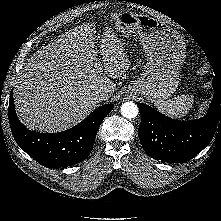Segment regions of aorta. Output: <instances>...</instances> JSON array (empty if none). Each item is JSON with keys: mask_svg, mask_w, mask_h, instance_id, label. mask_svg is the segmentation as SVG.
Instances as JSON below:
<instances>
[{"mask_svg": "<svg viewBox=\"0 0 221 221\" xmlns=\"http://www.w3.org/2000/svg\"><path fill=\"white\" fill-rule=\"evenodd\" d=\"M138 112V106L133 102H125L121 106V114L127 119L135 118Z\"/></svg>", "mask_w": 221, "mask_h": 221, "instance_id": "1", "label": "aorta"}]
</instances>
